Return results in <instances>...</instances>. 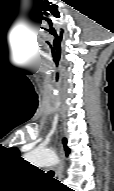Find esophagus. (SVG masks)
I'll list each match as a JSON object with an SVG mask.
<instances>
[{
  "label": "esophagus",
  "mask_w": 114,
  "mask_h": 191,
  "mask_svg": "<svg viewBox=\"0 0 114 191\" xmlns=\"http://www.w3.org/2000/svg\"><path fill=\"white\" fill-rule=\"evenodd\" d=\"M62 168H63V155L61 152V163L59 164V166L56 168V171H55V177L58 180H61L62 178Z\"/></svg>",
  "instance_id": "obj_1"
}]
</instances>
